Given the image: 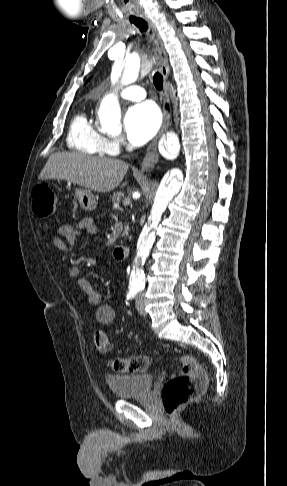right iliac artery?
I'll list each match as a JSON object with an SVG mask.
<instances>
[{"instance_id": "right-iliac-artery-1", "label": "right iliac artery", "mask_w": 287, "mask_h": 486, "mask_svg": "<svg viewBox=\"0 0 287 486\" xmlns=\"http://www.w3.org/2000/svg\"><path fill=\"white\" fill-rule=\"evenodd\" d=\"M140 288H137V287H131L130 290H129V293L127 295V298H133L138 292H139Z\"/></svg>"}]
</instances>
